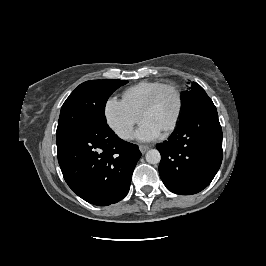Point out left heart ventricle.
<instances>
[{"instance_id": "1", "label": "left heart ventricle", "mask_w": 266, "mask_h": 266, "mask_svg": "<svg viewBox=\"0 0 266 266\" xmlns=\"http://www.w3.org/2000/svg\"><path fill=\"white\" fill-rule=\"evenodd\" d=\"M177 110V96L172 89H165L153 106L147 110L144 119L162 131L171 123Z\"/></svg>"}]
</instances>
